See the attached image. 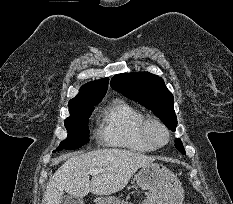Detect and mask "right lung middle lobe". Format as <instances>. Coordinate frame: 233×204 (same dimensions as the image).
I'll return each mask as SVG.
<instances>
[{
    "instance_id": "1",
    "label": "right lung middle lobe",
    "mask_w": 233,
    "mask_h": 204,
    "mask_svg": "<svg viewBox=\"0 0 233 204\" xmlns=\"http://www.w3.org/2000/svg\"><path fill=\"white\" fill-rule=\"evenodd\" d=\"M94 105L69 109L70 116L64 121L68 132L66 140L61 142L57 151L62 149L74 150L89 142L88 118L90 117ZM56 152V151H53Z\"/></svg>"
}]
</instances>
